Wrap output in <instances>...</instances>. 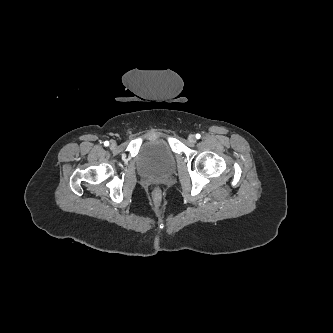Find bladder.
I'll return each instance as SVG.
<instances>
[{
    "label": "bladder",
    "mask_w": 333,
    "mask_h": 333,
    "mask_svg": "<svg viewBox=\"0 0 333 333\" xmlns=\"http://www.w3.org/2000/svg\"><path fill=\"white\" fill-rule=\"evenodd\" d=\"M136 165L145 176L165 177L175 171L176 161L168 143L164 139L154 138L141 144Z\"/></svg>",
    "instance_id": "1"
}]
</instances>
